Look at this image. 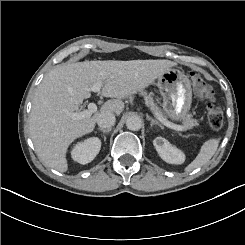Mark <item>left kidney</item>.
I'll return each instance as SVG.
<instances>
[{
    "label": "left kidney",
    "instance_id": "5707ae66",
    "mask_svg": "<svg viewBox=\"0 0 245 245\" xmlns=\"http://www.w3.org/2000/svg\"><path fill=\"white\" fill-rule=\"evenodd\" d=\"M153 145L159 157L169 164H183L186 160V154L180 148L172 145L168 139L164 137H156Z\"/></svg>",
    "mask_w": 245,
    "mask_h": 245
}]
</instances>
